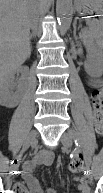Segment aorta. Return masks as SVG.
<instances>
[{"label":"aorta","mask_w":103,"mask_h":193,"mask_svg":"<svg viewBox=\"0 0 103 193\" xmlns=\"http://www.w3.org/2000/svg\"><path fill=\"white\" fill-rule=\"evenodd\" d=\"M73 3L72 0H57L56 2V15L61 34L66 33L69 29L72 15H73Z\"/></svg>","instance_id":"762f6f07"}]
</instances>
